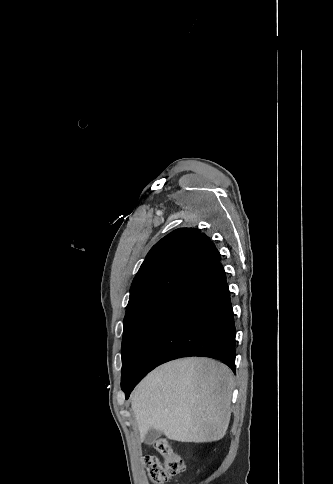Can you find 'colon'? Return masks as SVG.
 I'll return each instance as SVG.
<instances>
[{"instance_id": "1", "label": "colon", "mask_w": 333, "mask_h": 484, "mask_svg": "<svg viewBox=\"0 0 333 484\" xmlns=\"http://www.w3.org/2000/svg\"><path fill=\"white\" fill-rule=\"evenodd\" d=\"M154 447L159 453V457L147 456L145 458L148 476L153 483H165L185 470L184 461L172 450L165 439H157L154 442Z\"/></svg>"}]
</instances>
